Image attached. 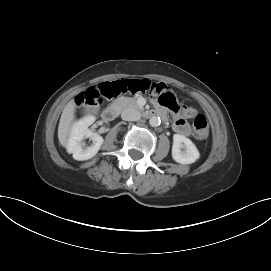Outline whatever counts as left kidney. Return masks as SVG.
I'll list each match as a JSON object with an SVG mask.
<instances>
[{
	"mask_svg": "<svg viewBox=\"0 0 271 271\" xmlns=\"http://www.w3.org/2000/svg\"><path fill=\"white\" fill-rule=\"evenodd\" d=\"M181 149H185L182 151ZM172 157L180 164L194 163L200 157V153L194 143L187 137L174 134L172 145Z\"/></svg>",
	"mask_w": 271,
	"mask_h": 271,
	"instance_id": "1",
	"label": "left kidney"
}]
</instances>
